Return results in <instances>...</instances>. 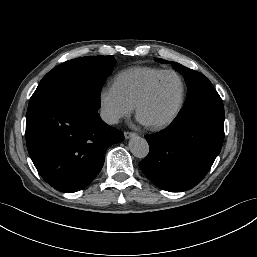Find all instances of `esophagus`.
Instances as JSON below:
<instances>
[{"mask_svg":"<svg viewBox=\"0 0 257 257\" xmlns=\"http://www.w3.org/2000/svg\"><path fill=\"white\" fill-rule=\"evenodd\" d=\"M136 135H137V134L134 133V132H130V131L124 132V137H125V139H129V138L135 137Z\"/></svg>","mask_w":257,"mask_h":257,"instance_id":"esophagus-1","label":"esophagus"}]
</instances>
